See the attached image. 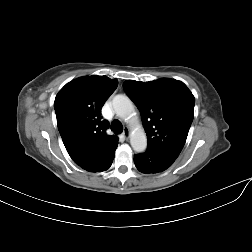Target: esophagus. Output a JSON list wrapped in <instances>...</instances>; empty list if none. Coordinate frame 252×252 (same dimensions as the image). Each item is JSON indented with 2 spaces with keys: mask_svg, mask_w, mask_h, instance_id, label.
<instances>
[{
  "mask_svg": "<svg viewBox=\"0 0 252 252\" xmlns=\"http://www.w3.org/2000/svg\"><path fill=\"white\" fill-rule=\"evenodd\" d=\"M122 134H123V136H124L126 139H128V138H129V135H130L129 129H128L127 127H125Z\"/></svg>",
  "mask_w": 252,
  "mask_h": 252,
  "instance_id": "obj_1",
  "label": "esophagus"
}]
</instances>
